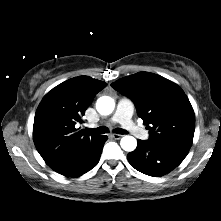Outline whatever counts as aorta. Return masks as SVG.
Wrapping results in <instances>:
<instances>
[{
    "label": "aorta",
    "mask_w": 221,
    "mask_h": 221,
    "mask_svg": "<svg viewBox=\"0 0 221 221\" xmlns=\"http://www.w3.org/2000/svg\"><path fill=\"white\" fill-rule=\"evenodd\" d=\"M115 107L114 100L109 96H102L96 102V109L101 115H109ZM121 148L127 152L134 151L137 146V140L133 136L126 135L121 138Z\"/></svg>",
    "instance_id": "aorta-1"
}]
</instances>
